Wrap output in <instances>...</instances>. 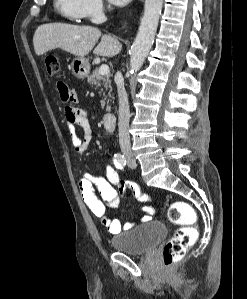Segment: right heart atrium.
<instances>
[{
  "label": "right heart atrium",
  "instance_id": "obj_1",
  "mask_svg": "<svg viewBox=\"0 0 247 299\" xmlns=\"http://www.w3.org/2000/svg\"><path fill=\"white\" fill-rule=\"evenodd\" d=\"M83 16L92 22H97L106 13V4L103 0H82Z\"/></svg>",
  "mask_w": 247,
  "mask_h": 299
}]
</instances>
